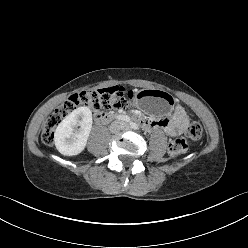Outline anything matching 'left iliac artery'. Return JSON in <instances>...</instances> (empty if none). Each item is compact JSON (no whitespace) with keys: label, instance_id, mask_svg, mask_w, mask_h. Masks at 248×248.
Instances as JSON below:
<instances>
[{"label":"left iliac artery","instance_id":"left-iliac-artery-1","mask_svg":"<svg viewBox=\"0 0 248 248\" xmlns=\"http://www.w3.org/2000/svg\"><path fill=\"white\" fill-rule=\"evenodd\" d=\"M130 126H131V128H133V129H139V127H138V125L136 124V123H133V122H131L130 123Z\"/></svg>","mask_w":248,"mask_h":248}]
</instances>
